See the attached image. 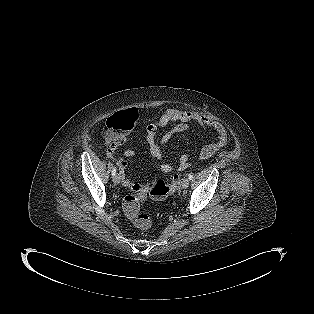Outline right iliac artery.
I'll return each instance as SVG.
<instances>
[{
	"mask_svg": "<svg viewBox=\"0 0 314 314\" xmlns=\"http://www.w3.org/2000/svg\"><path fill=\"white\" fill-rule=\"evenodd\" d=\"M116 170H117V168H116V167H113L112 176H114V175L116 174Z\"/></svg>",
	"mask_w": 314,
	"mask_h": 314,
	"instance_id": "right-iliac-artery-1",
	"label": "right iliac artery"
}]
</instances>
